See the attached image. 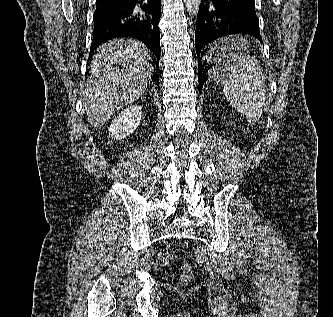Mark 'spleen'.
<instances>
[{"label": "spleen", "mask_w": 333, "mask_h": 317, "mask_svg": "<svg viewBox=\"0 0 333 317\" xmlns=\"http://www.w3.org/2000/svg\"><path fill=\"white\" fill-rule=\"evenodd\" d=\"M227 66L223 80L227 101L255 124L263 113L266 90L258 62L247 52V43L242 37H226L221 41Z\"/></svg>", "instance_id": "1"}]
</instances>
